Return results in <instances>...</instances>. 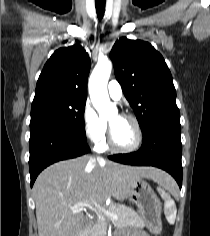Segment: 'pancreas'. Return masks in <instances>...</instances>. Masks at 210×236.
<instances>
[{
  "label": "pancreas",
  "mask_w": 210,
  "mask_h": 236,
  "mask_svg": "<svg viewBox=\"0 0 210 236\" xmlns=\"http://www.w3.org/2000/svg\"><path fill=\"white\" fill-rule=\"evenodd\" d=\"M108 212L118 215V219L113 221L114 226L117 228L127 226L141 228L145 225L143 218L134 209L126 205L112 206L108 209ZM107 224L106 217H98L89 229L88 236H103L107 229Z\"/></svg>",
  "instance_id": "cf45deb5"
}]
</instances>
